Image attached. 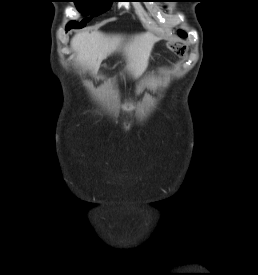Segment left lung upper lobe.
Segmentation results:
<instances>
[{"instance_id": "obj_1", "label": "left lung upper lobe", "mask_w": 258, "mask_h": 275, "mask_svg": "<svg viewBox=\"0 0 258 275\" xmlns=\"http://www.w3.org/2000/svg\"><path fill=\"white\" fill-rule=\"evenodd\" d=\"M179 35L182 37L184 35H187L186 33L182 32V31H178Z\"/></svg>"}]
</instances>
